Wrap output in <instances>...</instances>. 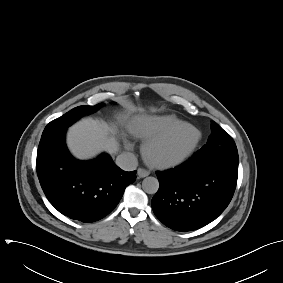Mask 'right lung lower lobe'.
Instances as JSON below:
<instances>
[{"instance_id": "obj_1", "label": "right lung lower lobe", "mask_w": 283, "mask_h": 283, "mask_svg": "<svg viewBox=\"0 0 283 283\" xmlns=\"http://www.w3.org/2000/svg\"><path fill=\"white\" fill-rule=\"evenodd\" d=\"M65 133L63 129L41 138L36 162L41 187L60 213L86 223L100 220L117 206L136 171H123L106 154L76 160L67 150Z\"/></svg>"}]
</instances>
